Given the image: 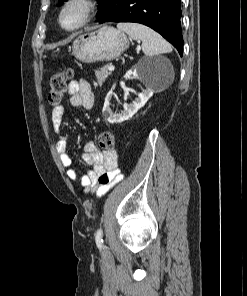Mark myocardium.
I'll list each match as a JSON object with an SVG mask.
<instances>
[{"label":"myocardium","mask_w":247,"mask_h":296,"mask_svg":"<svg viewBox=\"0 0 247 296\" xmlns=\"http://www.w3.org/2000/svg\"><path fill=\"white\" fill-rule=\"evenodd\" d=\"M73 8H78L80 10V18L76 24L72 26H67L64 24V16L70 9ZM95 9V0H66L60 9L58 16V24L60 28L64 31H77L86 26L90 22L94 15Z\"/></svg>","instance_id":"myocardium-1"}]
</instances>
